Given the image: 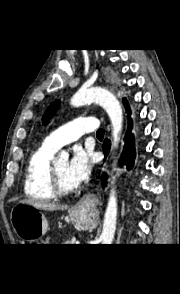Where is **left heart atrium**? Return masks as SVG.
I'll return each mask as SVG.
<instances>
[{
  "instance_id": "obj_1",
  "label": "left heart atrium",
  "mask_w": 180,
  "mask_h": 294,
  "mask_svg": "<svg viewBox=\"0 0 180 294\" xmlns=\"http://www.w3.org/2000/svg\"><path fill=\"white\" fill-rule=\"evenodd\" d=\"M93 166L92 154L80 147L76 148L68 163V177L75 186L80 185L90 175Z\"/></svg>"
}]
</instances>
